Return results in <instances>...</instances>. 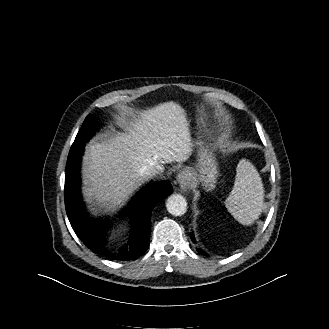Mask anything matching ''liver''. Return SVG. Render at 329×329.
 <instances>
[{
	"label": "liver",
	"instance_id": "1",
	"mask_svg": "<svg viewBox=\"0 0 329 329\" xmlns=\"http://www.w3.org/2000/svg\"><path fill=\"white\" fill-rule=\"evenodd\" d=\"M130 112L122 119L125 132L86 147L82 173L83 193L105 211L122 205L146 179L147 165L186 161L193 143L185 110L170 101Z\"/></svg>",
	"mask_w": 329,
	"mask_h": 329
}]
</instances>
